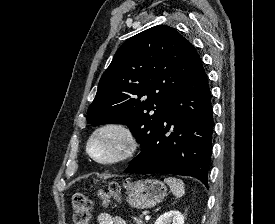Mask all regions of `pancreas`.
Listing matches in <instances>:
<instances>
[{
  "label": "pancreas",
  "instance_id": "1",
  "mask_svg": "<svg viewBox=\"0 0 275 224\" xmlns=\"http://www.w3.org/2000/svg\"><path fill=\"white\" fill-rule=\"evenodd\" d=\"M132 219H133V223L135 224H145V222L140 218L132 217Z\"/></svg>",
  "mask_w": 275,
  "mask_h": 224
}]
</instances>
